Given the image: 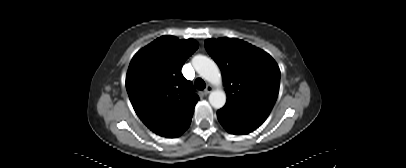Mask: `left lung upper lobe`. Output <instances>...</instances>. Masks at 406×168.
Instances as JSON below:
<instances>
[{
    "label": "left lung upper lobe",
    "mask_w": 406,
    "mask_h": 168,
    "mask_svg": "<svg viewBox=\"0 0 406 168\" xmlns=\"http://www.w3.org/2000/svg\"><path fill=\"white\" fill-rule=\"evenodd\" d=\"M205 47L222 72L227 93L224 107L266 120L279 91L275 60L239 39H207Z\"/></svg>",
    "instance_id": "obj_1"
}]
</instances>
